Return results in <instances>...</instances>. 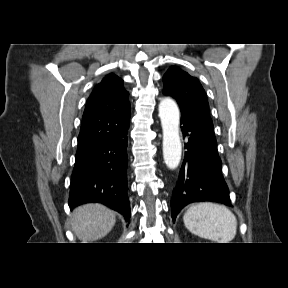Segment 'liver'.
I'll use <instances>...</instances> for the list:
<instances>
[{"mask_svg":"<svg viewBox=\"0 0 288 288\" xmlns=\"http://www.w3.org/2000/svg\"><path fill=\"white\" fill-rule=\"evenodd\" d=\"M115 222L114 211L100 204H86L73 211L71 228L80 241H97L112 230Z\"/></svg>","mask_w":288,"mask_h":288,"instance_id":"obj_1","label":"liver"}]
</instances>
